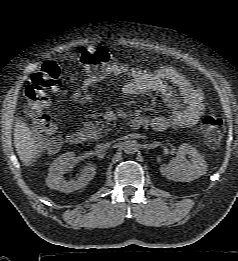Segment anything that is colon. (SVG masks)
Returning <instances> with one entry per match:
<instances>
[{
  "label": "colon",
  "mask_w": 238,
  "mask_h": 261,
  "mask_svg": "<svg viewBox=\"0 0 238 261\" xmlns=\"http://www.w3.org/2000/svg\"><path fill=\"white\" fill-rule=\"evenodd\" d=\"M111 53L106 47L89 48L82 52L81 63L93 75H101L110 62ZM61 75L60 66L54 61L45 62L34 73L26 87V114L33 121L36 133L48 150L55 151L60 146V136L55 121L45 109L57 88ZM226 129L225 121L215 114H207L201 122V130L206 143L215 148L221 142Z\"/></svg>",
  "instance_id": "1"
}]
</instances>
